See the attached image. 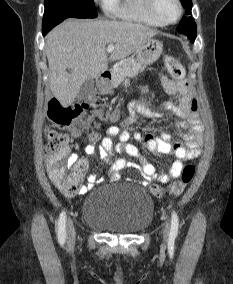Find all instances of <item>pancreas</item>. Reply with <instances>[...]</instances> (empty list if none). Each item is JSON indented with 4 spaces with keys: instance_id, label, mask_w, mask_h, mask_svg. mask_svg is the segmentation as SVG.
<instances>
[{
    "instance_id": "pancreas-1",
    "label": "pancreas",
    "mask_w": 233,
    "mask_h": 284,
    "mask_svg": "<svg viewBox=\"0 0 233 284\" xmlns=\"http://www.w3.org/2000/svg\"><path fill=\"white\" fill-rule=\"evenodd\" d=\"M143 70L144 67L141 64H139L134 57L123 59L115 66L114 69L115 83L120 84L127 77L135 76Z\"/></svg>"
}]
</instances>
